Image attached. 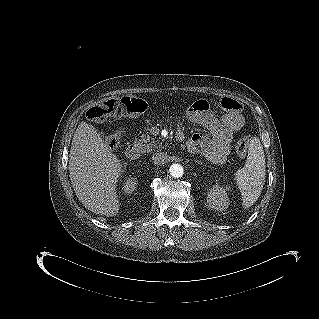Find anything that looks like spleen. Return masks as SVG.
Instances as JSON below:
<instances>
[{"mask_svg": "<svg viewBox=\"0 0 319 319\" xmlns=\"http://www.w3.org/2000/svg\"><path fill=\"white\" fill-rule=\"evenodd\" d=\"M265 164L260 139L254 137L249 145L245 167L235 174L236 184L242 194L245 207L253 205L261 194L265 181Z\"/></svg>", "mask_w": 319, "mask_h": 319, "instance_id": "obj_1", "label": "spleen"}]
</instances>
